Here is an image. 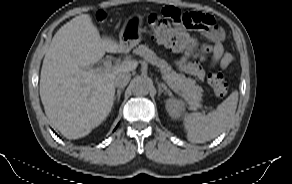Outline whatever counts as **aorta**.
<instances>
[{"label":"aorta","instance_id":"aorta-1","mask_svg":"<svg viewBox=\"0 0 292 184\" xmlns=\"http://www.w3.org/2000/svg\"><path fill=\"white\" fill-rule=\"evenodd\" d=\"M151 82L145 78L137 77L133 80L131 88L132 92L137 96L147 95L151 89Z\"/></svg>","mask_w":292,"mask_h":184}]
</instances>
